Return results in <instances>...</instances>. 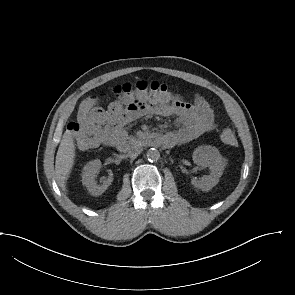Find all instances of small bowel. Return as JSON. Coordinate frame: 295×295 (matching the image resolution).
I'll use <instances>...</instances> for the list:
<instances>
[{
  "label": "small bowel",
  "mask_w": 295,
  "mask_h": 295,
  "mask_svg": "<svg viewBox=\"0 0 295 295\" xmlns=\"http://www.w3.org/2000/svg\"><path fill=\"white\" fill-rule=\"evenodd\" d=\"M148 116L176 118L177 129L164 135L169 146L192 141L216 126L212 108L200 96L188 103L169 91H137L120 96L106 110L96 108L82 129L76 130L74 123L68 129L78 148L88 150L99 144L116 145L125 137V125Z\"/></svg>",
  "instance_id": "obj_1"
}]
</instances>
